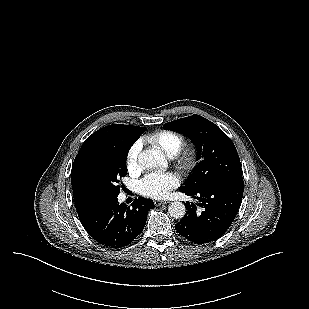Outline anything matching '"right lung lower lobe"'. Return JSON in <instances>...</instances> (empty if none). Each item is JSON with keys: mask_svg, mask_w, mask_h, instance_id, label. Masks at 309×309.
Wrapping results in <instances>:
<instances>
[{"mask_svg": "<svg viewBox=\"0 0 309 309\" xmlns=\"http://www.w3.org/2000/svg\"><path fill=\"white\" fill-rule=\"evenodd\" d=\"M117 197L96 199L77 209L88 234L99 244L115 249L136 239L145 227L147 212L155 206L152 200L138 198L130 208L119 204Z\"/></svg>", "mask_w": 309, "mask_h": 309, "instance_id": "obj_1", "label": "right lung lower lobe"}]
</instances>
